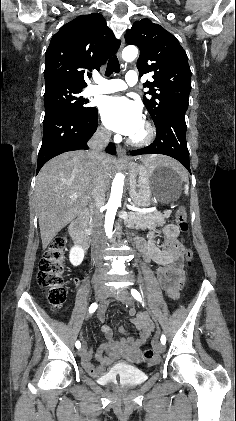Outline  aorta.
I'll list each match as a JSON object with an SVG mask.
<instances>
[{
  "instance_id": "obj_1",
  "label": "aorta",
  "mask_w": 236,
  "mask_h": 421,
  "mask_svg": "<svg viewBox=\"0 0 236 421\" xmlns=\"http://www.w3.org/2000/svg\"><path fill=\"white\" fill-rule=\"evenodd\" d=\"M137 54H138V48H136V46H133V44H129V46H125V48H123L122 50V58H124V60H127V62H131V60H134ZM123 180H124V176H122L121 172H118V174H116L112 182L111 194L107 202V213L105 215L104 229L109 239H112L113 237L114 219L117 213V208L119 204H121L123 184H124Z\"/></svg>"
}]
</instances>
